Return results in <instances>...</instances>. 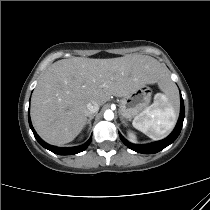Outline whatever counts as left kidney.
I'll use <instances>...</instances> for the list:
<instances>
[{"label":"left kidney","instance_id":"left-kidney-1","mask_svg":"<svg viewBox=\"0 0 210 210\" xmlns=\"http://www.w3.org/2000/svg\"><path fill=\"white\" fill-rule=\"evenodd\" d=\"M128 137L130 138L131 141H136V136L133 132L128 131Z\"/></svg>","mask_w":210,"mask_h":210}]
</instances>
